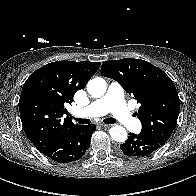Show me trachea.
Segmentation results:
<instances>
[{"label":"trachea","mask_w":196,"mask_h":196,"mask_svg":"<svg viewBox=\"0 0 196 196\" xmlns=\"http://www.w3.org/2000/svg\"><path fill=\"white\" fill-rule=\"evenodd\" d=\"M79 124H89L90 120L89 119H83V118H74ZM105 123L108 124H114L116 123V120L114 118H106L103 120Z\"/></svg>","instance_id":"1"}]
</instances>
